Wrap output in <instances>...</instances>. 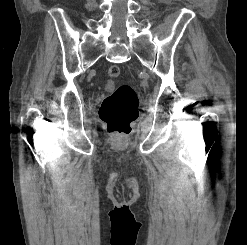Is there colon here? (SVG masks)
<instances>
[{
    "instance_id": "obj_1",
    "label": "colon",
    "mask_w": 247,
    "mask_h": 245,
    "mask_svg": "<svg viewBox=\"0 0 247 245\" xmlns=\"http://www.w3.org/2000/svg\"><path fill=\"white\" fill-rule=\"evenodd\" d=\"M108 75L111 78L118 77L120 68L110 66ZM138 107L139 99L135 90L129 85H121L105 97L99 109V117L109 132L127 133L138 118Z\"/></svg>"
}]
</instances>
